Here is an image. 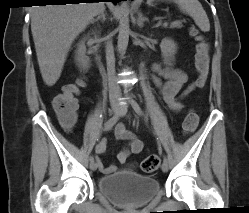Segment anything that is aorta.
Here are the masks:
<instances>
[{"label":"aorta","instance_id":"762f6f07","mask_svg":"<svg viewBox=\"0 0 249 213\" xmlns=\"http://www.w3.org/2000/svg\"><path fill=\"white\" fill-rule=\"evenodd\" d=\"M129 6L123 2L120 6V17H119V34H118V51L123 54L128 46L129 41Z\"/></svg>","mask_w":249,"mask_h":213}]
</instances>
